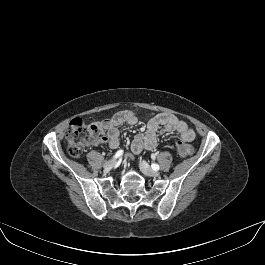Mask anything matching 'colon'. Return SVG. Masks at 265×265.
I'll use <instances>...</instances> for the list:
<instances>
[{
    "label": "colon",
    "instance_id": "obj_1",
    "mask_svg": "<svg viewBox=\"0 0 265 265\" xmlns=\"http://www.w3.org/2000/svg\"><path fill=\"white\" fill-rule=\"evenodd\" d=\"M98 136L99 132L95 125L86 124L80 118L73 119L65 138L68 153L73 157H79L86 147L97 142ZM177 150L181 156H190L194 153V148L185 142H179Z\"/></svg>",
    "mask_w": 265,
    "mask_h": 265
}]
</instances>
